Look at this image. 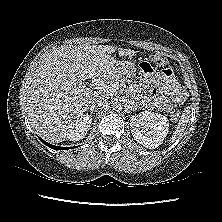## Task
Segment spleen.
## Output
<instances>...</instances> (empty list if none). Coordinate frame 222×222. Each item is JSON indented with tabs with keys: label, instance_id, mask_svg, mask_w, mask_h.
Returning a JSON list of instances; mask_svg holds the SVG:
<instances>
[{
	"label": "spleen",
	"instance_id": "1",
	"mask_svg": "<svg viewBox=\"0 0 222 222\" xmlns=\"http://www.w3.org/2000/svg\"><path fill=\"white\" fill-rule=\"evenodd\" d=\"M189 110L186 109L183 113V115L181 116V119L175 129V131L173 132V136H172V142H174L177 138H179L181 136V134L184 132L187 123L189 121Z\"/></svg>",
	"mask_w": 222,
	"mask_h": 222
}]
</instances>
